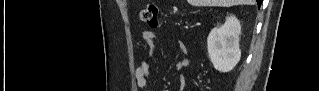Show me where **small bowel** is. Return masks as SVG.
<instances>
[{
  "label": "small bowel",
  "instance_id": "small-bowel-1",
  "mask_svg": "<svg viewBox=\"0 0 319 91\" xmlns=\"http://www.w3.org/2000/svg\"><path fill=\"white\" fill-rule=\"evenodd\" d=\"M142 38L143 41L148 48V59L142 61L140 65L136 68L135 70V79H136V84L139 88L149 91L148 88V73L150 70V58L152 57L155 49H156V42H155V34L152 31L145 30L142 33ZM177 46L179 50L187 54L188 53V47L183 41H178ZM189 65V59L187 57H184L174 64V68L176 70H181ZM178 83L180 90H183L184 87L186 86L187 79L186 76L181 74L178 78Z\"/></svg>",
  "mask_w": 319,
  "mask_h": 91
}]
</instances>
